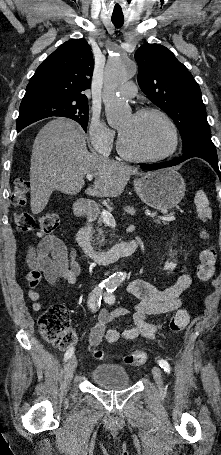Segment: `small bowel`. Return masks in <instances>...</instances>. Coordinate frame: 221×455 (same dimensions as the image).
Wrapping results in <instances>:
<instances>
[{
  "instance_id": "1",
  "label": "small bowel",
  "mask_w": 221,
  "mask_h": 455,
  "mask_svg": "<svg viewBox=\"0 0 221 455\" xmlns=\"http://www.w3.org/2000/svg\"><path fill=\"white\" fill-rule=\"evenodd\" d=\"M27 261L30 267L26 276L27 294L36 310L42 306L37 291L42 278L49 286H55L61 282L75 285L78 282L80 266L77 261V251L71 249L68 252L64 242L57 236H46L37 245L32 246L28 252ZM190 285L189 274H182L174 284L165 288H158L141 279L132 280L128 284L127 291L136 300L133 311L130 312L122 307L113 311L101 308L98 320L90 332V343L98 345L103 339L108 343H114L120 338L154 339L161 326L149 322V318L179 310L182 296ZM120 317L130 319L129 327L122 332L111 327Z\"/></svg>"
}]
</instances>
